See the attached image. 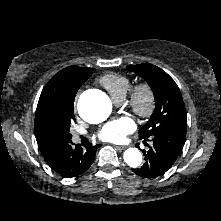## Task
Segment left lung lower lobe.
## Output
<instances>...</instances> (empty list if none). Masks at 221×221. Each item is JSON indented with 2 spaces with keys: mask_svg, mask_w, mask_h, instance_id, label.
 <instances>
[{
  "mask_svg": "<svg viewBox=\"0 0 221 221\" xmlns=\"http://www.w3.org/2000/svg\"><path fill=\"white\" fill-rule=\"evenodd\" d=\"M153 145L149 147L145 155V163L142 167L133 169V172L142 178H154L163 175L169 170L186 141L185 131L160 132L152 136ZM148 141V139H144Z\"/></svg>",
  "mask_w": 221,
  "mask_h": 221,
  "instance_id": "obj_1",
  "label": "left lung lower lobe"
}]
</instances>
